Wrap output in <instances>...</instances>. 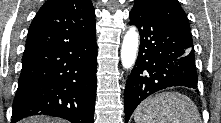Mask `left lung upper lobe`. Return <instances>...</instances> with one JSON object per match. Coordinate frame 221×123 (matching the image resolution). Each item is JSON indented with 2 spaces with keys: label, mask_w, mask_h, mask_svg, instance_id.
Returning <instances> with one entry per match:
<instances>
[{
  "label": "left lung upper lobe",
  "mask_w": 221,
  "mask_h": 123,
  "mask_svg": "<svg viewBox=\"0 0 221 123\" xmlns=\"http://www.w3.org/2000/svg\"><path fill=\"white\" fill-rule=\"evenodd\" d=\"M153 17L190 32L185 12L177 0H136Z\"/></svg>",
  "instance_id": "5c2ea615"
}]
</instances>
